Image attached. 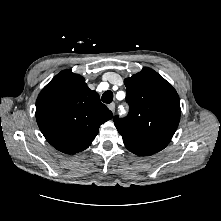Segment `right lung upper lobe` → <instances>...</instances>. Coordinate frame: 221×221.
<instances>
[{
    "instance_id": "right-lung-upper-lobe-1",
    "label": "right lung upper lobe",
    "mask_w": 221,
    "mask_h": 221,
    "mask_svg": "<svg viewBox=\"0 0 221 221\" xmlns=\"http://www.w3.org/2000/svg\"><path fill=\"white\" fill-rule=\"evenodd\" d=\"M112 116L98 93L70 69L56 75L36 101V120L42 134L54 148L67 154L88 148L100 125Z\"/></svg>"
}]
</instances>
